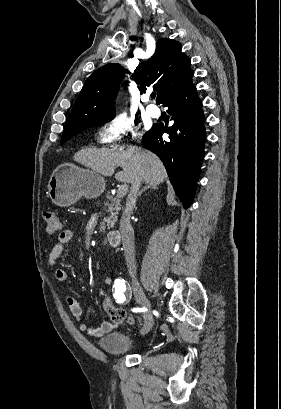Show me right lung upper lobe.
<instances>
[{
    "mask_svg": "<svg viewBox=\"0 0 281 409\" xmlns=\"http://www.w3.org/2000/svg\"><path fill=\"white\" fill-rule=\"evenodd\" d=\"M182 46L172 39H159L154 55L140 63L133 74L143 93L153 86L157 102L163 103L185 82L190 70V59L181 52ZM124 69L119 64H106L86 81L65 128L82 127L115 115V97Z\"/></svg>",
    "mask_w": 281,
    "mask_h": 409,
    "instance_id": "1",
    "label": "right lung upper lobe"
}]
</instances>
